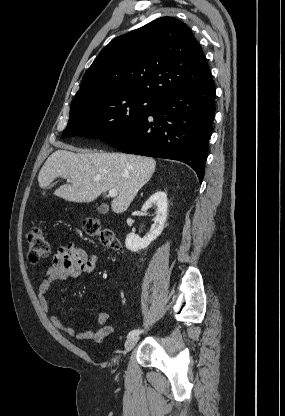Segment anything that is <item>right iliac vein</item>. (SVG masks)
Wrapping results in <instances>:
<instances>
[{"label": "right iliac vein", "instance_id": "1", "mask_svg": "<svg viewBox=\"0 0 285 416\" xmlns=\"http://www.w3.org/2000/svg\"><path fill=\"white\" fill-rule=\"evenodd\" d=\"M138 342L137 337L128 338L124 344L125 352H129L131 349L135 347Z\"/></svg>", "mask_w": 285, "mask_h": 416}]
</instances>
